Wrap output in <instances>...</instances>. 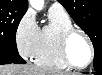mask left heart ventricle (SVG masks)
<instances>
[{
    "label": "left heart ventricle",
    "mask_w": 102,
    "mask_h": 75,
    "mask_svg": "<svg viewBox=\"0 0 102 75\" xmlns=\"http://www.w3.org/2000/svg\"><path fill=\"white\" fill-rule=\"evenodd\" d=\"M69 54L74 63H83L89 56V45L85 38L76 34L69 42L68 46Z\"/></svg>",
    "instance_id": "1"
}]
</instances>
